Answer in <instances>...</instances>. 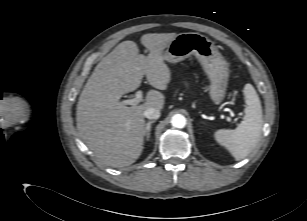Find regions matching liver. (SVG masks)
<instances>
[{"mask_svg":"<svg viewBox=\"0 0 307 221\" xmlns=\"http://www.w3.org/2000/svg\"><path fill=\"white\" fill-rule=\"evenodd\" d=\"M176 35H143L141 44L149 50L148 56L139 54L134 41L121 42L98 63L85 84L77 104L78 134L103 164L129 166L141 155L144 111L151 107L163 109L165 96L151 89L142 104L130 107L120 98L136 90L144 75L154 88L167 87L171 72L162 53Z\"/></svg>","mask_w":307,"mask_h":221,"instance_id":"1","label":"liver"}]
</instances>
